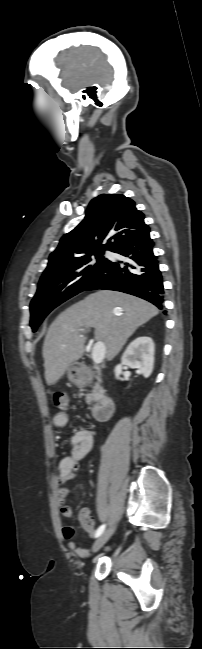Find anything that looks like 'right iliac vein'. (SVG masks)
<instances>
[{"label": "right iliac vein", "mask_w": 202, "mask_h": 649, "mask_svg": "<svg viewBox=\"0 0 202 649\" xmlns=\"http://www.w3.org/2000/svg\"><path fill=\"white\" fill-rule=\"evenodd\" d=\"M114 530L115 526H111L99 536L92 547L93 552H97L109 540Z\"/></svg>", "instance_id": "63e3f726"}]
</instances>
